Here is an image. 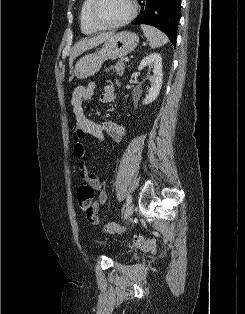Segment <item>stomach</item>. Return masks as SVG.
<instances>
[{
	"instance_id": "obj_1",
	"label": "stomach",
	"mask_w": 245,
	"mask_h": 314,
	"mask_svg": "<svg viewBox=\"0 0 245 314\" xmlns=\"http://www.w3.org/2000/svg\"><path fill=\"white\" fill-rule=\"evenodd\" d=\"M139 43L136 33L122 31L113 33L95 53L83 56L75 65V76L85 79L97 73L103 62L109 59L122 58L132 52Z\"/></svg>"
}]
</instances>
